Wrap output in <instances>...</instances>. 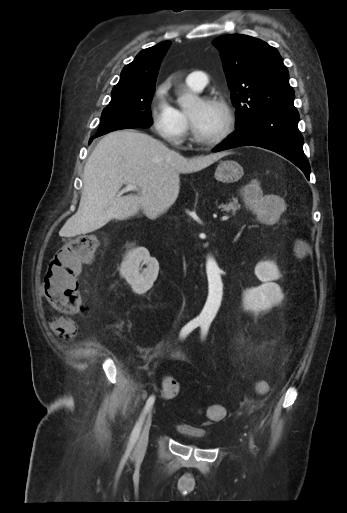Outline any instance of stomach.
Listing matches in <instances>:
<instances>
[{
    "mask_svg": "<svg viewBox=\"0 0 347 513\" xmlns=\"http://www.w3.org/2000/svg\"><path fill=\"white\" fill-rule=\"evenodd\" d=\"M244 175L243 167L234 160L221 161L215 171L214 177L223 183H234Z\"/></svg>",
    "mask_w": 347,
    "mask_h": 513,
    "instance_id": "1",
    "label": "stomach"
}]
</instances>
